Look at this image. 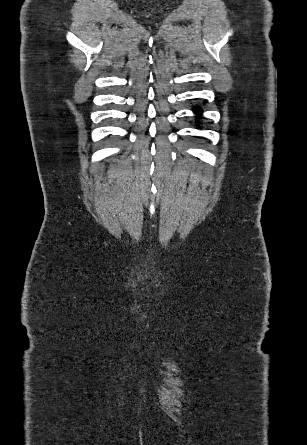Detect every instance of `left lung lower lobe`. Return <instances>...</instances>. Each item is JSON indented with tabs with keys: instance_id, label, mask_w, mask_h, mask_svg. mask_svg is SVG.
Listing matches in <instances>:
<instances>
[{
	"instance_id": "1",
	"label": "left lung lower lobe",
	"mask_w": 307,
	"mask_h": 445,
	"mask_svg": "<svg viewBox=\"0 0 307 445\" xmlns=\"http://www.w3.org/2000/svg\"><path fill=\"white\" fill-rule=\"evenodd\" d=\"M194 110H195L197 113H200V111H201L199 108H195Z\"/></svg>"
}]
</instances>
